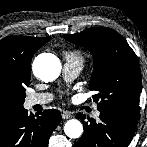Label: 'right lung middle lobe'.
<instances>
[{"label":"right lung middle lobe","mask_w":147,"mask_h":147,"mask_svg":"<svg viewBox=\"0 0 147 147\" xmlns=\"http://www.w3.org/2000/svg\"><path fill=\"white\" fill-rule=\"evenodd\" d=\"M30 84V76L0 67V117L23 109L25 87Z\"/></svg>","instance_id":"obj_1"}]
</instances>
